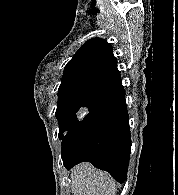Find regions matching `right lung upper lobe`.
Wrapping results in <instances>:
<instances>
[{
	"mask_svg": "<svg viewBox=\"0 0 178 195\" xmlns=\"http://www.w3.org/2000/svg\"><path fill=\"white\" fill-rule=\"evenodd\" d=\"M122 84L112 46L106 40H88L67 63L58 96L99 94Z\"/></svg>",
	"mask_w": 178,
	"mask_h": 195,
	"instance_id": "right-lung-upper-lobe-1",
	"label": "right lung upper lobe"
}]
</instances>
